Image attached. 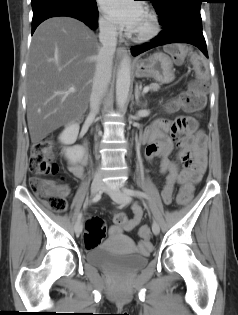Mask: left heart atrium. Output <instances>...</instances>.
Returning a JSON list of instances; mask_svg holds the SVG:
<instances>
[{
  "instance_id": "1",
  "label": "left heart atrium",
  "mask_w": 238,
  "mask_h": 315,
  "mask_svg": "<svg viewBox=\"0 0 238 315\" xmlns=\"http://www.w3.org/2000/svg\"><path fill=\"white\" fill-rule=\"evenodd\" d=\"M101 9L121 27L134 32L144 12L136 0H99Z\"/></svg>"
}]
</instances>
